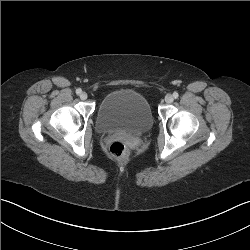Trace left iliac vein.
<instances>
[{
  "label": "left iliac vein",
  "instance_id": "left-iliac-vein-1",
  "mask_svg": "<svg viewBox=\"0 0 250 250\" xmlns=\"http://www.w3.org/2000/svg\"><path fill=\"white\" fill-rule=\"evenodd\" d=\"M173 101H174V98H173V96H172L171 94H167V95L165 96V102H166V103L170 104V103H172Z\"/></svg>",
  "mask_w": 250,
  "mask_h": 250
}]
</instances>
